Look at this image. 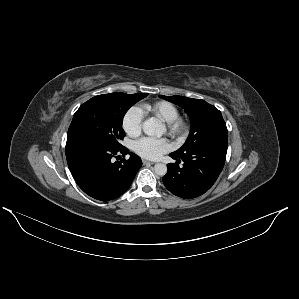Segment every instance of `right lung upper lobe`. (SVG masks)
I'll list each match as a JSON object with an SVG mask.
<instances>
[{"instance_id": "cb5924a9", "label": "right lung upper lobe", "mask_w": 299, "mask_h": 299, "mask_svg": "<svg viewBox=\"0 0 299 299\" xmlns=\"http://www.w3.org/2000/svg\"><path fill=\"white\" fill-rule=\"evenodd\" d=\"M137 94H142V93H137ZM98 96H101V95H98Z\"/></svg>"}]
</instances>
